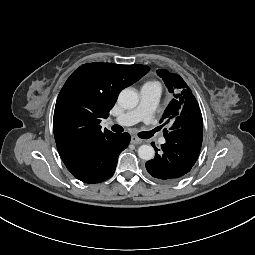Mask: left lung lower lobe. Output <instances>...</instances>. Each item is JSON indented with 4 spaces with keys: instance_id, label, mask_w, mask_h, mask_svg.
<instances>
[{
    "instance_id": "left-lung-lower-lobe-1",
    "label": "left lung lower lobe",
    "mask_w": 255,
    "mask_h": 255,
    "mask_svg": "<svg viewBox=\"0 0 255 255\" xmlns=\"http://www.w3.org/2000/svg\"><path fill=\"white\" fill-rule=\"evenodd\" d=\"M166 143L146 162L148 173L156 180L171 183L184 177L195 164L203 139V123L189 125L164 136Z\"/></svg>"
}]
</instances>
